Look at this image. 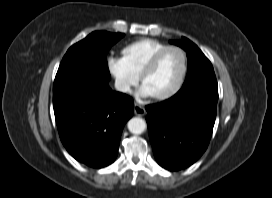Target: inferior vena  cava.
<instances>
[{
	"label": "inferior vena cava",
	"mask_w": 272,
	"mask_h": 198,
	"mask_svg": "<svg viewBox=\"0 0 272 198\" xmlns=\"http://www.w3.org/2000/svg\"><path fill=\"white\" fill-rule=\"evenodd\" d=\"M115 88L116 90L118 91H121V92H129L130 91V86L123 82V81H115Z\"/></svg>",
	"instance_id": "1"
}]
</instances>
